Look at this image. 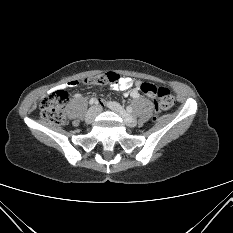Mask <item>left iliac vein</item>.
Returning <instances> with one entry per match:
<instances>
[{"label":"left iliac vein","instance_id":"obj_1","mask_svg":"<svg viewBox=\"0 0 233 233\" xmlns=\"http://www.w3.org/2000/svg\"><path fill=\"white\" fill-rule=\"evenodd\" d=\"M108 106L110 109L115 111L117 114L121 116L125 124L129 127H135L137 125V120L134 116L127 113L118 103L116 102H109Z\"/></svg>","mask_w":233,"mask_h":233}]
</instances>
